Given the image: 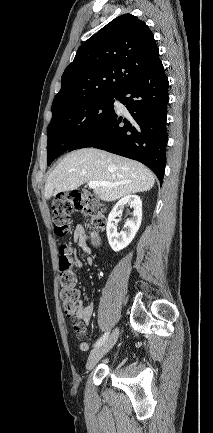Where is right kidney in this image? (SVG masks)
Here are the masks:
<instances>
[{
	"label": "right kidney",
	"mask_w": 213,
	"mask_h": 433,
	"mask_svg": "<svg viewBox=\"0 0 213 433\" xmlns=\"http://www.w3.org/2000/svg\"><path fill=\"white\" fill-rule=\"evenodd\" d=\"M127 204L133 209V217L126 221L124 225L125 230L118 233L117 227L112 222L115 221L117 216L122 214V208ZM141 220L142 201L139 196L128 195L121 198L116 203L108 216V223L106 227L108 242L113 251L119 252L131 243L137 231L139 230Z\"/></svg>",
	"instance_id": "1"
}]
</instances>
